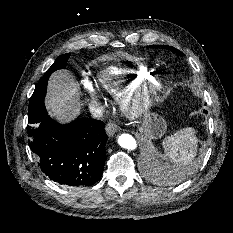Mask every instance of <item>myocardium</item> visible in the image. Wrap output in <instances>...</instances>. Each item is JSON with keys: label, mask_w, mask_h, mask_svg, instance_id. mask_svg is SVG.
<instances>
[{"label": "myocardium", "mask_w": 233, "mask_h": 233, "mask_svg": "<svg viewBox=\"0 0 233 233\" xmlns=\"http://www.w3.org/2000/svg\"><path fill=\"white\" fill-rule=\"evenodd\" d=\"M161 89L158 81L128 93L123 99V108L130 118H138L147 113Z\"/></svg>", "instance_id": "f54148a6"}]
</instances>
